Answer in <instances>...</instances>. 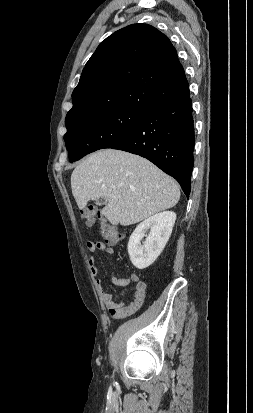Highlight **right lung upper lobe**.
Segmentation results:
<instances>
[{
  "label": "right lung upper lobe",
  "instance_id": "cb5924a9",
  "mask_svg": "<svg viewBox=\"0 0 253 413\" xmlns=\"http://www.w3.org/2000/svg\"><path fill=\"white\" fill-rule=\"evenodd\" d=\"M188 88L169 38L148 24L129 25L102 41L86 63L65 123L115 109L145 112Z\"/></svg>",
  "mask_w": 253,
  "mask_h": 413
}]
</instances>
